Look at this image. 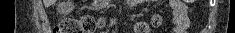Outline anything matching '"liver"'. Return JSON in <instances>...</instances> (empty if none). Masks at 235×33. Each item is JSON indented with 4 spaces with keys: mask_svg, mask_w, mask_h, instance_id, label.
Here are the masks:
<instances>
[{
    "mask_svg": "<svg viewBox=\"0 0 235 33\" xmlns=\"http://www.w3.org/2000/svg\"><path fill=\"white\" fill-rule=\"evenodd\" d=\"M56 0H43L44 6L49 7L55 3Z\"/></svg>",
    "mask_w": 235,
    "mask_h": 33,
    "instance_id": "1",
    "label": "liver"
}]
</instances>
